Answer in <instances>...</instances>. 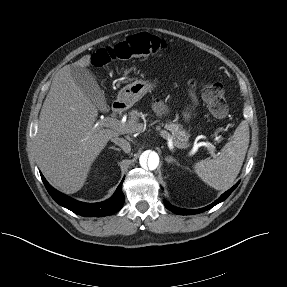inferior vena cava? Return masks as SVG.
Listing matches in <instances>:
<instances>
[{
  "label": "inferior vena cava",
  "instance_id": "inferior-vena-cava-1",
  "mask_svg": "<svg viewBox=\"0 0 287 287\" xmlns=\"http://www.w3.org/2000/svg\"><path fill=\"white\" fill-rule=\"evenodd\" d=\"M111 141L120 146L125 153H129L131 151L130 143L124 138L114 137Z\"/></svg>",
  "mask_w": 287,
  "mask_h": 287
}]
</instances>
